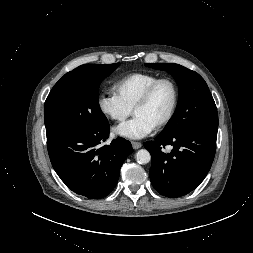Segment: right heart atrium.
<instances>
[{
    "label": "right heart atrium",
    "mask_w": 253,
    "mask_h": 253,
    "mask_svg": "<svg viewBox=\"0 0 253 253\" xmlns=\"http://www.w3.org/2000/svg\"><path fill=\"white\" fill-rule=\"evenodd\" d=\"M97 104L102 114L117 122L125 120L132 111V108L113 91L99 94Z\"/></svg>",
    "instance_id": "obj_1"
}]
</instances>
